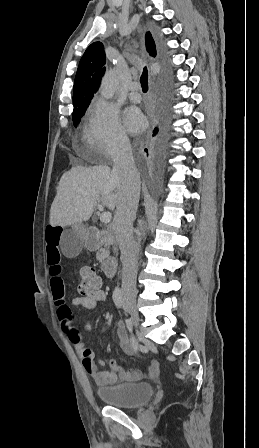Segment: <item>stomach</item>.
Instances as JSON below:
<instances>
[{
  "label": "stomach",
  "instance_id": "1",
  "mask_svg": "<svg viewBox=\"0 0 259 448\" xmlns=\"http://www.w3.org/2000/svg\"><path fill=\"white\" fill-rule=\"evenodd\" d=\"M73 232L79 236V238H87L88 236V228L86 226H82V224H73L72 226Z\"/></svg>",
  "mask_w": 259,
  "mask_h": 448
}]
</instances>
